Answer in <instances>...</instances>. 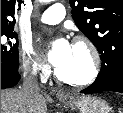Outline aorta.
<instances>
[{
  "instance_id": "762f6f07",
  "label": "aorta",
  "mask_w": 123,
  "mask_h": 113,
  "mask_svg": "<svg viewBox=\"0 0 123 113\" xmlns=\"http://www.w3.org/2000/svg\"><path fill=\"white\" fill-rule=\"evenodd\" d=\"M51 0H40V2H50Z\"/></svg>"
}]
</instances>
